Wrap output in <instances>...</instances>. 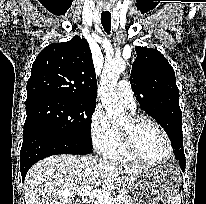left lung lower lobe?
I'll return each mask as SVG.
<instances>
[{
	"instance_id": "1",
	"label": "left lung lower lobe",
	"mask_w": 206,
	"mask_h": 204,
	"mask_svg": "<svg viewBox=\"0 0 206 204\" xmlns=\"http://www.w3.org/2000/svg\"><path fill=\"white\" fill-rule=\"evenodd\" d=\"M175 158L179 161V165L181 167V170L184 172L185 171V155H184V150L182 149H173Z\"/></svg>"
}]
</instances>
